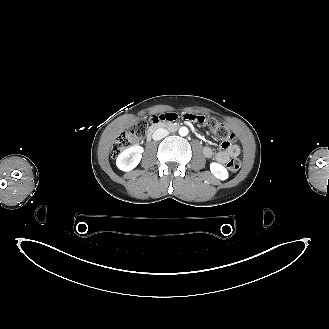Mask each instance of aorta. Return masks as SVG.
I'll return each instance as SVG.
<instances>
[{
	"instance_id": "1",
	"label": "aorta",
	"mask_w": 329,
	"mask_h": 329,
	"mask_svg": "<svg viewBox=\"0 0 329 329\" xmlns=\"http://www.w3.org/2000/svg\"><path fill=\"white\" fill-rule=\"evenodd\" d=\"M188 128L187 127H181L180 129H179V135H181V136H186V135H188Z\"/></svg>"
}]
</instances>
